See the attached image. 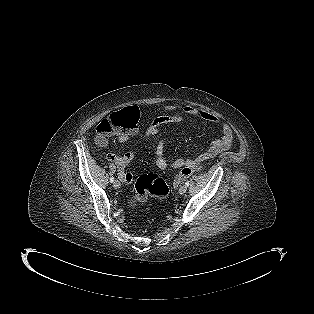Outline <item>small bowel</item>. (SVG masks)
Returning a JSON list of instances; mask_svg holds the SVG:
<instances>
[{
    "label": "small bowel",
    "mask_w": 314,
    "mask_h": 314,
    "mask_svg": "<svg viewBox=\"0 0 314 314\" xmlns=\"http://www.w3.org/2000/svg\"><path fill=\"white\" fill-rule=\"evenodd\" d=\"M185 117H199L203 120L217 125L221 131V137L211 142L207 150L199 154L194 159L177 158L172 163V166L174 168H182L185 166L195 165L197 162L211 159L230 148L233 139V133L230 125L221 122L217 117L210 113L199 111L192 107H185L182 110H175L173 108L166 109L163 114L157 116L152 120V122L145 131V136L147 138H150L156 135L163 126L179 123ZM137 133L138 130L136 129L130 133L119 134L117 138L120 142L125 143L128 142L130 138ZM96 142L100 147H105L108 144V139L99 140L98 138H96ZM166 142V138H162L153 145L156 156V165L161 170H165L168 167V161L165 158ZM106 157L109 161L115 163L118 166L121 171L120 177L124 182L128 183L132 180V175L130 173L124 172L125 167L134 159V153L132 151H128L122 156H118L114 153H108Z\"/></svg>",
    "instance_id": "obj_1"
}]
</instances>
